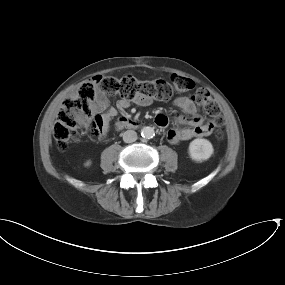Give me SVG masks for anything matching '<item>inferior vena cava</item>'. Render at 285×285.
<instances>
[{"label":"inferior vena cava","instance_id":"obj_1","mask_svg":"<svg viewBox=\"0 0 285 285\" xmlns=\"http://www.w3.org/2000/svg\"><path fill=\"white\" fill-rule=\"evenodd\" d=\"M137 140V133L134 130H127L123 133V141L132 143Z\"/></svg>","mask_w":285,"mask_h":285}]
</instances>
